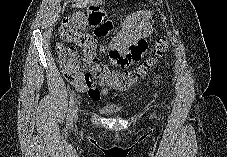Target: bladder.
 Here are the masks:
<instances>
[{"label": "bladder", "mask_w": 227, "mask_h": 157, "mask_svg": "<svg viewBox=\"0 0 227 157\" xmlns=\"http://www.w3.org/2000/svg\"><path fill=\"white\" fill-rule=\"evenodd\" d=\"M103 113L112 115V114H117L120 112V109L114 106H107L102 109Z\"/></svg>", "instance_id": "bladder-1"}]
</instances>
